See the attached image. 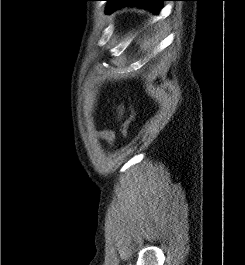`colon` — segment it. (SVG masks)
I'll return each instance as SVG.
<instances>
[{"instance_id":"colon-1","label":"colon","mask_w":245,"mask_h":265,"mask_svg":"<svg viewBox=\"0 0 245 265\" xmlns=\"http://www.w3.org/2000/svg\"><path fill=\"white\" fill-rule=\"evenodd\" d=\"M134 118L133 111H131V115L121 124L120 131L123 136L128 135L129 126L132 123Z\"/></svg>"}]
</instances>
